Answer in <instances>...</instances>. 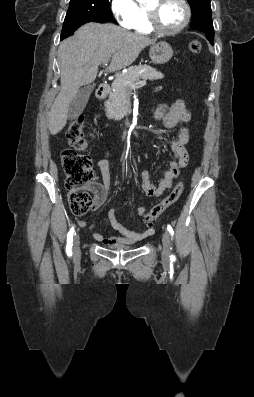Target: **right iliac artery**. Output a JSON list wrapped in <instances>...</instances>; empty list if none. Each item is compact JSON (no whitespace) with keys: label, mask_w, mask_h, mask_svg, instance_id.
Masks as SVG:
<instances>
[{"label":"right iliac artery","mask_w":254,"mask_h":397,"mask_svg":"<svg viewBox=\"0 0 254 397\" xmlns=\"http://www.w3.org/2000/svg\"><path fill=\"white\" fill-rule=\"evenodd\" d=\"M73 235H74V227L71 228L67 235V246H66V252L68 256H72V241H73Z\"/></svg>","instance_id":"right-iliac-artery-1"}]
</instances>
